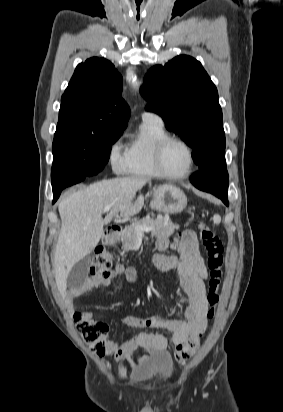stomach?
Here are the masks:
<instances>
[{
  "label": "stomach",
  "mask_w": 283,
  "mask_h": 412,
  "mask_svg": "<svg viewBox=\"0 0 283 412\" xmlns=\"http://www.w3.org/2000/svg\"><path fill=\"white\" fill-rule=\"evenodd\" d=\"M150 206L158 212L176 214L186 208L187 198L180 188L173 185H161L154 188Z\"/></svg>",
  "instance_id": "stomach-1"
}]
</instances>
